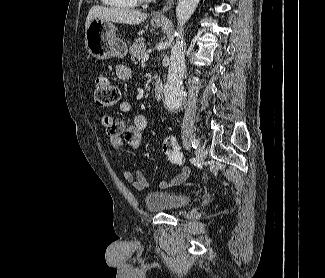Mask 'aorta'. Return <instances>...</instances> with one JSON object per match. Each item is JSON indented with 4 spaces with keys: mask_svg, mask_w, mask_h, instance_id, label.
Returning a JSON list of instances; mask_svg holds the SVG:
<instances>
[{
    "mask_svg": "<svg viewBox=\"0 0 325 278\" xmlns=\"http://www.w3.org/2000/svg\"><path fill=\"white\" fill-rule=\"evenodd\" d=\"M200 0H178L176 17L178 20L177 40L170 54L167 82L164 87L165 104L169 109H178L183 101L182 79L186 72L184 40L181 35L184 24L194 13Z\"/></svg>",
    "mask_w": 325,
    "mask_h": 278,
    "instance_id": "762f6f07",
    "label": "aorta"
}]
</instances>
